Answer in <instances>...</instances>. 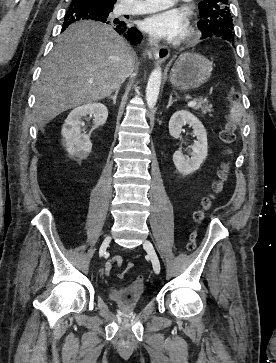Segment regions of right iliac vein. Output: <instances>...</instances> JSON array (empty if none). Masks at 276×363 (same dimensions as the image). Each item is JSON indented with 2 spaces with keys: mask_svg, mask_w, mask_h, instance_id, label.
<instances>
[{
  "mask_svg": "<svg viewBox=\"0 0 276 363\" xmlns=\"http://www.w3.org/2000/svg\"><path fill=\"white\" fill-rule=\"evenodd\" d=\"M110 241H111V237L106 236L105 239L103 240L102 245H101L100 250H99V255L100 256H102L106 252V249H107Z\"/></svg>",
  "mask_w": 276,
  "mask_h": 363,
  "instance_id": "right-iliac-vein-1",
  "label": "right iliac vein"
}]
</instances>
